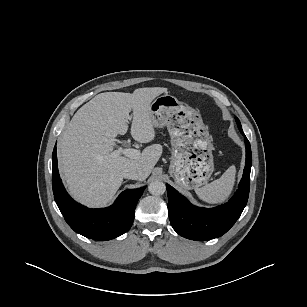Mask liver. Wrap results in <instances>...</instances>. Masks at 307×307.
Masks as SVG:
<instances>
[{
  "mask_svg": "<svg viewBox=\"0 0 307 307\" xmlns=\"http://www.w3.org/2000/svg\"><path fill=\"white\" fill-rule=\"evenodd\" d=\"M167 88H138L133 93L105 92L84 104L72 117L58 143V165L69 193L88 207L108 204L122 184V171L133 168L140 181L151 173L162 154V146L146 147L138 159L114 155L115 138L128 130L140 143L155 138L149 106Z\"/></svg>",
  "mask_w": 307,
  "mask_h": 307,
  "instance_id": "obj_1",
  "label": "liver"
}]
</instances>
